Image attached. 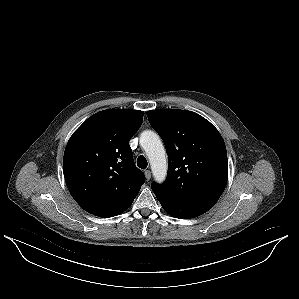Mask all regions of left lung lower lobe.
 I'll use <instances>...</instances> for the list:
<instances>
[{
    "label": "left lung lower lobe",
    "mask_w": 299,
    "mask_h": 299,
    "mask_svg": "<svg viewBox=\"0 0 299 299\" xmlns=\"http://www.w3.org/2000/svg\"><path fill=\"white\" fill-rule=\"evenodd\" d=\"M163 209L173 217L189 219L207 212L212 204L177 202L156 195Z\"/></svg>",
    "instance_id": "left-lung-lower-lobe-1"
}]
</instances>
